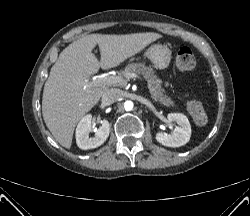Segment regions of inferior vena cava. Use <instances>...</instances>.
Masks as SVG:
<instances>
[{"label":"inferior vena cava","instance_id":"1","mask_svg":"<svg viewBox=\"0 0 250 216\" xmlns=\"http://www.w3.org/2000/svg\"><path fill=\"white\" fill-rule=\"evenodd\" d=\"M123 95V92L120 89L112 88L106 90L102 95V101L106 104H112L118 101Z\"/></svg>","mask_w":250,"mask_h":216}]
</instances>
